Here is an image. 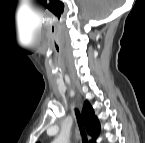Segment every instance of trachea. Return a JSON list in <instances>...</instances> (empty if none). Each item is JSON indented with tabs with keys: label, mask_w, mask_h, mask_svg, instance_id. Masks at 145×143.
Listing matches in <instances>:
<instances>
[{
	"label": "trachea",
	"mask_w": 145,
	"mask_h": 143,
	"mask_svg": "<svg viewBox=\"0 0 145 143\" xmlns=\"http://www.w3.org/2000/svg\"><path fill=\"white\" fill-rule=\"evenodd\" d=\"M75 113H76V117H77V122H78V125H79V129L81 131L82 141H83V143H88L87 136H86L85 130L83 128V125L81 123L78 110H75Z\"/></svg>",
	"instance_id": "trachea-1"
}]
</instances>
